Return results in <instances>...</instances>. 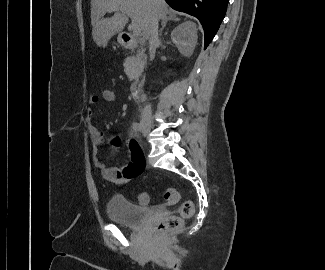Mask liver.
<instances>
[{
    "label": "liver",
    "mask_w": 325,
    "mask_h": 270,
    "mask_svg": "<svg viewBox=\"0 0 325 270\" xmlns=\"http://www.w3.org/2000/svg\"><path fill=\"white\" fill-rule=\"evenodd\" d=\"M111 8L119 9L112 17L103 18ZM169 13L164 0H91L93 40L98 46H105L114 34L124 29L127 22L125 14L139 25L142 36L147 39L152 21L155 18L164 19Z\"/></svg>",
    "instance_id": "obj_1"
}]
</instances>
